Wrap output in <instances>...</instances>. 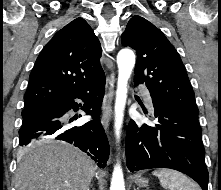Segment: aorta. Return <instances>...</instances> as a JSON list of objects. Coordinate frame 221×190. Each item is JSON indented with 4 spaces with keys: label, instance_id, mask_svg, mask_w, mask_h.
Masks as SVG:
<instances>
[{
    "label": "aorta",
    "instance_id": "aorta-1",
    "mask_svg": "<svg viewBox=\"0 0 221 190\" xmlns=\"http://www.w3.org/2000/svg\"><path fill=\"white\" fill-rule=\"evenodd\" d=\"M118 81L115 100V135L120 139L127 100V84L135 65V55L130 49H122L117 55ZM110 190H125L123 171L119 163L114 167Z\"/></svg>",
    "mask_w": 221,
    "mask_h": 190
}]
</instances>
